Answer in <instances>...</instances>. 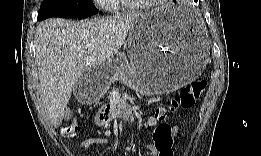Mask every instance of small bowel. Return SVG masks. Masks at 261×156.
<instances>
[{
  "label": "small bowel",
  "instance_id": "small-bowel-1",
  "mask_svg": "<svg viewBox=\"0 0 261 156\" xmlns=\"http://www.w3.org/2000/svg\"><path fill=\"white\" fill-rule=\"evenodd\" d=\"M170 129H171V146H172L176 142L180 128L178 125H174L170 127ZM106 143L107 140L104 138L91 137L82 141L81 147L86 149L94 145H105ZM144 154L150 156H170V155H162L160 150L157 148L155 142L145 147Z\"/></svg>",
  "mask_w": 261,
  "mask_h": 156
}]
</instances>
